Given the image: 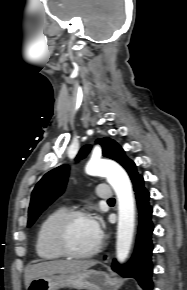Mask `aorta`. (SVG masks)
<instances>
[{
    "label": "aorta",
    "instance_id": "1",
    "mask_svg": "<svg viewBox=\"0 0 187 290\" xmlns=\"http://www.w3.org/2000/svg\"><path fill=\"white\" fill-rule=\"evenodd\" d=\"M85 170L88 175L106 177L116 193L118 201L116 257L123 263L130 252L135 226V204L129 177L118 164L107 160H91Z\"/></svg>",
    "mask_w": 187,
    "mask_h": 290
}]
</instances>
